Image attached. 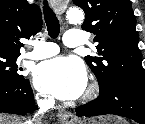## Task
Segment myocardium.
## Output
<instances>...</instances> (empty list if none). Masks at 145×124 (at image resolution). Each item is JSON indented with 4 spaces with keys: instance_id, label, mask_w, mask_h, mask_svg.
Wrapping results in <instances>:
<instances>
[{
    "instance_id": "f54148a6",
    "label": "myocardium",
    "mask_w": 145,
    "mask_h": 124,
    "mask_svg": "<svg viewBox=\"0 0 145 124\" xmlns=\"http://www.w3.org/2000/svg\"><path fill=\"white\" fill-rule=\"evenodd\" d=\"M99 92V85L96 82H92L88 85L85 94L84 100H90L97 96Z\"/></svg>"
}]
</instances>
